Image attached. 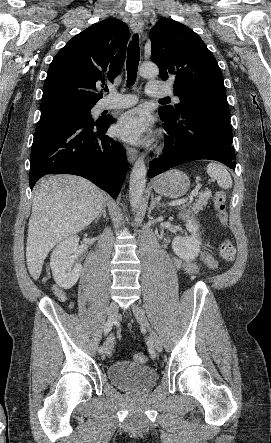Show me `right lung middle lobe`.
Here are the masks:
<instances>
[{"mask_svg": "<svg viewBox=\"0 0 271 443\" xmlns=\"http://www.w3.org/2000/svg\"><path fill=\"white\" fill-rule=\"evenodd\" d=\"M95 103L79 102L71 99H62L46 103H41V117L54 114H75L87 121H93L90 114Z\"/></svg>", "mask_w": 271, "mask_h": 443, "instance_id": "right-lung-middle-lobe-1", "label": "right lung middle lobe"}]
</instances>
